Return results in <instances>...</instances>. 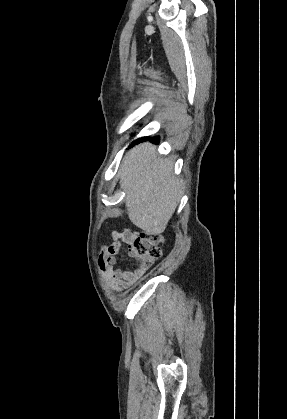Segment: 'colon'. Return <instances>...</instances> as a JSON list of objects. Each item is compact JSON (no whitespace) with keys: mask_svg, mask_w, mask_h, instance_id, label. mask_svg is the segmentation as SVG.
<instances>
[{"mask_svg":"<svg viewBox=\"0 0 287 419\" xmlns=\"http://www.w3.org/2000/svg\"><path fill=\"white\" fill-rule=\"evenodd\" d=\"M161 238L159 235L141 232L136 234L130 242V249L137 259L138 271L146 270L161 256Z\"/></svg>","mask_w":287,"mask_h":419,"instance_id":"5ec220e1","label":"colon"}]
</instances>
